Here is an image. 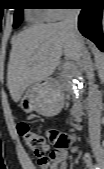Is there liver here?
<instances>
[{"label":"liver","instance_id":"liver-1","mask_svg":"<svg viewBox=\"0 0 104 169\" xmlns=\"http://www.w3.org/2000/svg\"><path fill=\"white\" fill-rule=\"evenodd\" d=\"M64 55L80 60V49L62 22L33 25L12 40L7 86L14 102H19L33 83L48 79Z\"/></svg>","mask_w":104,"mask_h":169}]
</instances>
